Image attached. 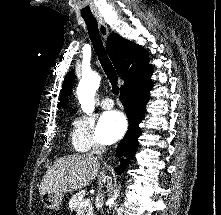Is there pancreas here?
Listing matches in <instances>:
<instances>
[{"label":"pancreas","instance_id":"1","mask_svg":"<svg viewBox=\"0 0 221 215\" xmlns=\"http://www.w3.org/2000/svg\"><path fill=\"white\" fill-rule=\"evenodd\" d=\"M84 197H85V192H78L76 194H74L70 201H69V208L72 211H88L87 215H93L92 214V205L88 204V206L86 207H80L79 204L84 201Z\"/></svg>","mask_w":221,"mask_h":215}]
</instances>
